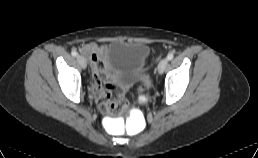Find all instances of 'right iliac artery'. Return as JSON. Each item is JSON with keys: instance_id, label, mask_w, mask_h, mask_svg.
<instances>
[{"instance_id": "1", "label": "right iliac artery", "mask_w": 258, "mask_h": 158, "mask_svg": "<svg viewBox=\"0 0 258 158\" xmlns=\"http://www.w3.org/2000/svg\"><path fill=\"white\" fill-rule=\"evenodd\" d=\"M72 56L76 57L78 55L77 51L76 50H72L71 52Z\"/></svg>"}]
</instances>
